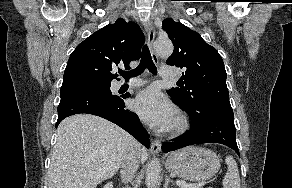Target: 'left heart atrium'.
<instances>
[{"label": "left heart atrium", "instance_id": "left-heart-atrium-1", "mask_svg": "<svg viewBox=\"0 0 292 188\" xmlns=\"http://www.w3.org/2000/svg\"><path fill=\"white\" fill-rule=\"evenodd\" d=\"M133 109L151 127L169 128L175 120L174 107L153 88L142 91L133 101Z\"/></svg>", "mask_w": 292, "mask_h": 188}]
</instances>
